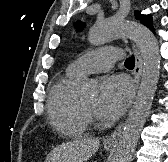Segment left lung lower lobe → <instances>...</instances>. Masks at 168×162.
<instances>
[{"mask_svg":"<svg viewBox=\"0 0 168 162\" xmlns=\"http://www.w3.org/2000/svg\"><path fill=\"white\" fill-rule=\"evenodd\" d=\"M149 28L154 32V27L152 25Z\"/></svg>","mask_w":168,"mask_h":162,"instance_id":"0a47b994","label":"left lung lower lobe"}]
</instances>
